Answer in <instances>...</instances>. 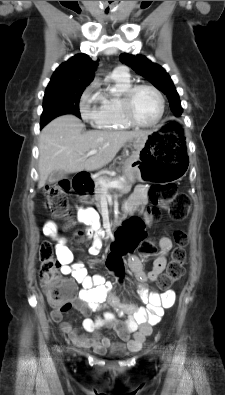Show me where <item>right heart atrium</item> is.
Instances as JSON below:
<instances>
[{
  "label": "right heart atrium",
  "instance_id": "d8ad5b80",
  "mask_svg": "<svg viewBox=\"0 0 225 395\" xmlns=\"http://www.w3.org/2000/svg\"><path fill=\"white\" fill-rule=\"evenodd\" d=\"M99 100L95 85H90L82 94L79 104L81 117L91 124H96L99 114Z\"/></svg>",
  "mask_w": 225,
  "mask_h": 395
}]
</instances>
